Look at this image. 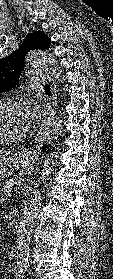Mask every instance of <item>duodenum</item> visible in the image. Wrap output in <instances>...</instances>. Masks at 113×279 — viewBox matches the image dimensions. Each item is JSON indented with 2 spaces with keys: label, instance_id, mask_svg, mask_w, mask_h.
<instances>
[{
  "label": "duodenum",
  "instance_id": "obj_1",
  "mask_svg": "<svg viewBox=\"0 0 113 279\" xmlns=\"http://www.w3.org/2000/svg\"><path fill=\"white\" fill-rule=\"evenodd\" d=\"M20 213L18 209H13L9 214V223L12 229H17L19 225Z\"/></svg>",
  "mask_w": 113,
  "mask_h": 279
}]
</instances>
